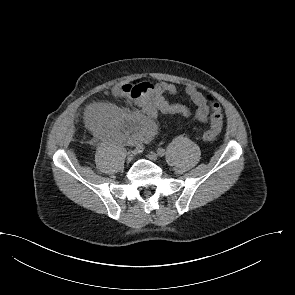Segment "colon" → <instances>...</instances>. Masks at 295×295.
<instances>
[{
    "label": "colon",
    "instance_id": "5ec220e1",
    "mask_svg": "<svg viewBox=\"0 0 295 295\" xmlns=\"http://www.w3.org/2000/svg\"><path fill=\"white\" fill-rule=\"evenodd\" d=\"M211 108H212V114H211L212 119L213 120H219L221 118V116H222L219 104H217L215 102H212ZM215 137L216 136L214 134H212V133H210L208 131L204 134V139L206 141H212V140L215 139Z\"/></svg>",
    "mask_w": 295,
    "mask_h": 295
}]
</instances>
